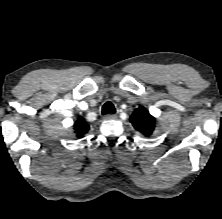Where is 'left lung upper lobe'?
Here are the masks:
<instances>
[{
    "label": "left lung upper lobe",
    "mask_w": 222,
    "mask_h": 219,
    "mask_svg": "<svg viewBox=\"0 0 222 219\" xmlns=\"http://www.w3.org/2000/svg\"><path fill=\"white\" fill-rule=\"evenodd\" d=\"M134 128L144 135H150L155 127V118L144 107L137 108L130 117Z\"/></svg>",
    "instance_id": "1"
}]
</instances>
